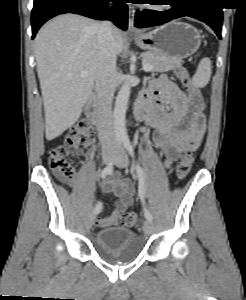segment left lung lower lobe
<instances>
[{
    "label": "left lung lower lobe",
    "mask_w": 246,
    "mask_h": 300,
    "mask_svg": "<svg viewBox=\"0 0 246 300\" xmlns=\"http://www.w3.org/2000/svg\"><path fill=\"white\" fill-rule=\"evenodd\" d=\"M166 12L146 10L136 13L135 26L138 28L164 24L172 19L189 16L208 24L221 38L223 22L222 7L218 0H174Z\"/></svg>",
    "instance_id": "obj_1"
}]
</instances>
